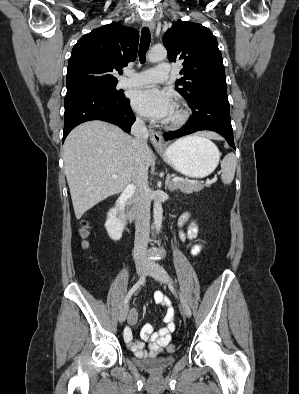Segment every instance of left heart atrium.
<instances>
[{
  "label": "left heart atrium",
  "instance_id": "obj_1",
  "mask_svg": "<svg viewBox=\"0 0 299 394\" xmlns=\"http://www.w3.org/2000/svg\"><path fill=\"white\" fill-rule=\"evenodd\" d=\"M132 105L138 113L158 120H167L175 107L170 94L157 87L137 91Z\"/></svg>",
  "mask_w": 299,
  "mask_h": 394
}]
</instances>
